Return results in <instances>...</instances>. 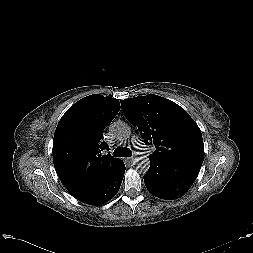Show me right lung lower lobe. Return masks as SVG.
I'll use <instances>...</instances> for the list:
<instances>
[{
	"label": "right lung lower lobe",
	"instance_id": "right-lung-lower-lobe-1",
	"mask_svg": "<svg viewBox=\"0 0 253 253\" xmlns=\"http://www.w3.org/2000/svg\"><path fill=\"white\" fill-rule=\"evenodd\" d=\"M124 172L125 165L122 162L116 172L107 180L75 198L89 205H101L109 201L118 192L123 180Z\"/></svg>",
	"mask_w": 253,
	"mask_h": 253
}]
</instances>
